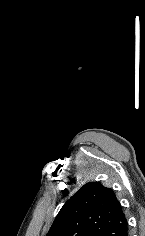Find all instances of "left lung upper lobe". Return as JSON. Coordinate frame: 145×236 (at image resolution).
<instances>
[{
	"mask_svg": "<svg viewBox=\"0 0 145 236\" xmlns=\"http://www.w3.org/2000/svg\"><path fill=\"white\" fill-rule=\"evenodd\" d=\"M126 230L113 190L90 182L64 204L46 236H122Z\"/></svg>",
	"mask_w": 145,
	"mask_h": 236,
	"instance_id": "5c2ea615",
	"label": "left lung upper lobe"
}]
</instances>
